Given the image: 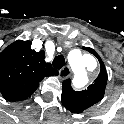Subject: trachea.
Here are the masks:
<instances>
[{
	"label": "trachea",
	"instance_id": "obj_1",
	"mask_svg": "<svg viewBox=\"0 0 124 124\" xmlns=\"http://www.w3.org/2000/svg\"><path fill=\"white\" fill-rule=\"evenodd\" d=\"M53 66L56 69H61L64 64H65V58L63 55H58L54 58L53 62H52Z\"/></svg>",
	"mask_w": 124,
	"mask_h": 124
}]
</instances>
